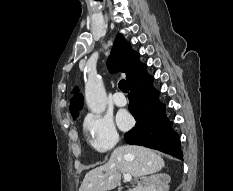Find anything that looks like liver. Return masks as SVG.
<instances>
[{"label": "liver", "mask_w": 233, "mask_h": 191, "mask_svg": "<svg viewBox=\"0 0 233 191\" xmlns=\"http://www.w3.org/2000/svg\"><path fill=\"white\" fill-rule=\"evenodd\" d=\"M164 167V160L153 150L143 146H119L104 165L89 171L79 191H110L121 180V173L133 177L154 174Z\"/></svg>", "instance_id": "6515ba94"}]
</instances>
